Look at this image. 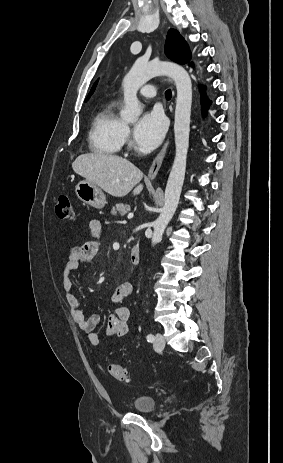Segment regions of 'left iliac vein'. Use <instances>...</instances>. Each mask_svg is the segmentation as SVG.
<instances>
[{"label":"left iliac vein","mask_w":283,"mask_h":463,"mask_svg":"<svg viewBox=\"0 0 283 463\" xmlns=\"http://www.w3.org/2000/svg\"><path fill=\"white\" fill-rule=\"evenodd\" d=\"M165 347V339L160 333H156L154 340V348L157 351L163 350Z\"/></svg>","instance_id":"1"}]
</instances>
